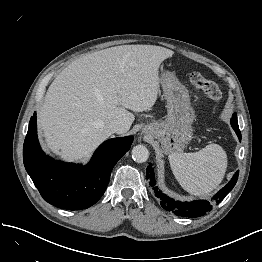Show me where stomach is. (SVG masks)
Masks as SVG:
<instances>
[{
  "label": "stomach",
  "instance_id": "stomach-1",
  "mask_svg": "<svg viewBox=\"0 0 262 262\" xmlns=\"http://www.w3.org/2000/svg\"><path fill=\"white\" fill-rule=\"evenodd\" d=\"M160 84L167 102V116L161 122L149 123L143 132L161 143L165 153L181 152L192 139L195 113L190 104L189 92L176 76L162 72Z\"/></svg>",
  "mask_w": 262,
  "mask_h": 262
}]
</instances>
